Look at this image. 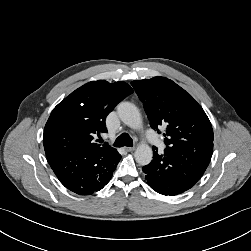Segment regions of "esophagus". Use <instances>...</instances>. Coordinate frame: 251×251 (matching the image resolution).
I'll return each instance as SVG.
<instances>
[{
	"instance_id": "1",
	"label": "esophagus",
	"mask_w": 251,
	"mask_h": 251,
	"mask_svg": "<svg viewBox=\"0 0 251 251\" xmlns=\"http://www.w3.org/2000/svg\"><path fill=\"white\" fill-rule=\"evenodd\" d=\"M125 150H126L127 152H132V151L135 150V147H125Z\"/></svg>"
}]
</instances>
